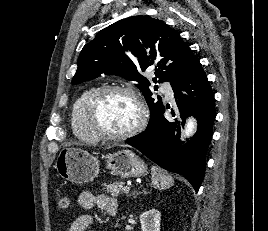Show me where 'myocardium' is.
<instances>
[{
    "label": "myocardium",
    "mask_w": 268,
    "mask_h": 231,
    "mask_svg": "<svg viewBox=\"0 0 268 231\" xmlns=\"http://www.w3.org/2000/svg\"><path fill=\"white\" fill-rule=\"evenodd\" d=\"M119 93L130 97L137 105L139 118L136 124L121 133H113L106 130H100L94 124L98 103L108 94ZM86 124L96 139H106L111 141L125 140L140 133L146 126L147 109L142 98L134 90L120 85H106L98 88L88 99L85 108Z\"/></svg>",
    "instance_id": "1"
}]
</instances>
